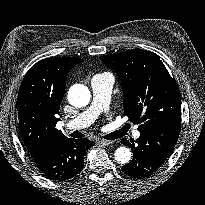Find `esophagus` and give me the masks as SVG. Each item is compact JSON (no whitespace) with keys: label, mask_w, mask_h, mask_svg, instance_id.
I'll return each mask as SVG.
<instances>
[{"label":"esophagus","mask_w":205,"mask_h":205,"mask_svg":"<svg viewBox=\"0 0 205 205\" xmlns=\"http://www.w3.org/2000/svg\"><path fill=\"white\" fill-rule=\"evenodd\" d=\"M99 142L103 145H111L113 144V141L111 140H105V139H100Z\"/></svg>","instance_id":"esophagus-1"}]
</instances>
